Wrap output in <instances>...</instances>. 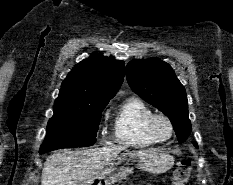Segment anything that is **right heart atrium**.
Returning a JSON list of instances; mask_svg holds the SVG:
<instances>
[{"mask_svg": "<svg viewBox=\"0 0 233 185\" xmlns=\"http://www.w3.org/2000/svg\"><path fill=\"white\" fill-rule=\"evenodd\" d=\"M99 127H100V129H102V125L101 124L99 125Z\"/></svg>", "mask_w": 233, "mask_h": 185, "instance_id": "d8ad5b80", "label": "right heart atrium"}]
</instances>
